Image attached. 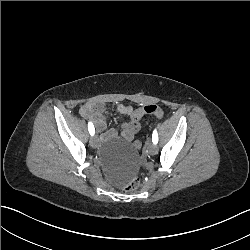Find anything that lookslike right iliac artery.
Segmentation results:
<instances>
[{"mask_svg":"<svg viewBox=\"0 0 250 250\" xmlns=\"http://www.w3.org/2000/svg\"><path fill=\"white\" fill-rule=\"evenodd\" d=\"M88 130H89L90 135L93 136L95 133V128L91 122L88 123Z\"/></svg>","mask_w":250,"mask_h":250,"instance_id":"1","label":"right iliac artery"}]
</instances>
